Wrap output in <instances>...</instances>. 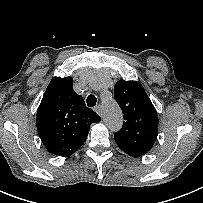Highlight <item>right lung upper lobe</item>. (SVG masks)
Here are the masks:
<instances>
[{"label":"right lung upper lobe","instance_id":"1","mask_svg":"<svg viewBox=\"0 0 203 203\" xmlns=\"http://www.w3.org/2000/svg\"><path fill=\"white\" fill-rule=\"evenodd\" d=\"M100 121L74 92L71 77L52 78L36 115L38 134L48 152L70 156L84 144L90 125Z\"/></svg>","mask_w":203,"mask_h":203}]
</instances>
